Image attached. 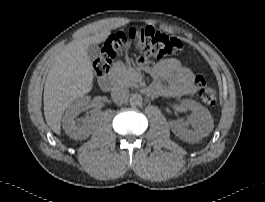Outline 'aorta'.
<instances>
[{"label":"aorta","instance_id":"obj_1","mask_svg":"<svg viewBox=\"0 0 265 202\" xmlns=\"http://www.w3.org/2000/svg\"><path fill=\"white\" fill-rule=\"evenodd\" d=\"M142 101H143L142 96L140 94H137V93L132 94L130 96V99H129L131 106H141Z\"/></svg>","mask_w":265,"mask_h":202}]
</instances>
